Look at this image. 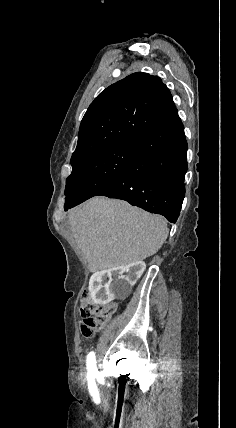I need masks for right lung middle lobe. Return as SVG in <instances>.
I'll use <instances>...</instances> for the list:
<instances>
[{"label": "right lung middle lobe", "instance_id": "right-lung-middle-lobe-1", "mask_svg": "<svg viewBox=\"0 0 236 428\" xmlns=\"http://www.w3.org/2000/svg\"><path fill=\"white\" fill-rule=\"evenodd\" d=\"M138 147L137 139L126 140L72 164L66 180L64 209L96 196L108 186L127 167Z\"/></svg>", "mask_w": 236, "mask_h": 428}]
</instances>
